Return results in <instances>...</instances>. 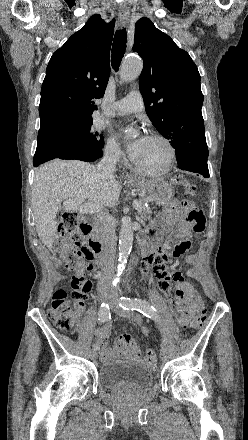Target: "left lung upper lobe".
Listing matches in <instances>:
<instances>
[{"instance_id":"left-lung-upper-lobe-1","label":"left lung upper lobe","mask_w":248,"mask_h":440,"mask_svg":"<svg viewBox=\"0 0 248 440\" xmlns=\"http://www.w3.org/2000/svg\"><path fill=\"white\" fill-rule=\"evenodd\" d=\"M132 49L144 62L139 88L153 125L171 141L178 161L207 158L204 97L189 54L148 18L136 22Z\"/></svg>"}]
</instances>
